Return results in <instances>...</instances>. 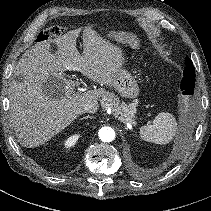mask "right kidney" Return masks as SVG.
Segmentation results:
<instances>
[{"instance_id":"1","label":"right kidney","mask_w":211,"mask_h":211,"mask_svg":"<svg viewBox=\"0 0 211 211\" xmlns=\"http://www.w3.org/2000/svg\"><path fill=\"white\" fill-rule=\"evenodd\" d=\"M79 138V135L78 134H74L72 135L71 137L67 138L65 141H64V146L66 148H69V147H72L76 144L77 140Z\"/></svg>"}]
</instances>
